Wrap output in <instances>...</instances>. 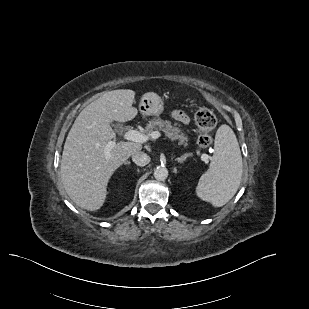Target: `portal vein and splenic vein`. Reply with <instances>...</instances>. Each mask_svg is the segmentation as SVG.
I'll list each match as a JSON object with an SVG mask.
<instances>
[{
    "mask_svg": "<svg viewBox=\"0 0 309 309\" xmlns=\"http://www.w3.org/2000/svg\"><path fill=\"white\" fill-rule=\"evenodd\" d=\"M161 136V133L159 131H154L149 135H145L140 133L137 130H129L124 134V139L129 140V141H134V142H138V143H145L147 142L149 139H157ZM115 146V142L114 141H110L106 148H105V157L106 159L110 158V149L112 147ZM203 161H207L208 160V155L206 154H202L201 156Z\"/></svg>",
    "mask_w": 309,
    "mask_h": 309,
    "instance_id": "18ae733b",
    "label": "portal vein and splenic vein"
}]
</instances>
